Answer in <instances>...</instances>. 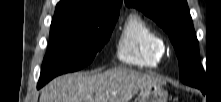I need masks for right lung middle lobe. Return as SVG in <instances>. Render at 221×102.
<instances>
[{"label":"right lung middle lobe","mask_w":221,"mask_h":102,"mask_svg":"<svg viewBox=\"0 0 221 102\" xmlns=\"http://www.w3.org/2000/svg\"><path fill=\"white\" fill-rule=\"evenodd\" d=\"M118 16L119 12L54 15L50 43L38 83L45 85L57 75L77 71L90 64L109 40Z\"/></svg>","instance_id":"right-lung-middle-lobe-1"}]
</instances>
